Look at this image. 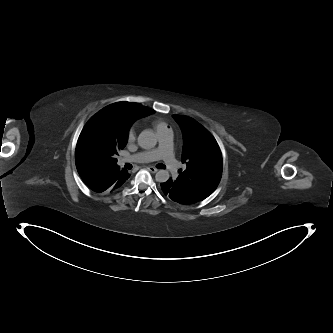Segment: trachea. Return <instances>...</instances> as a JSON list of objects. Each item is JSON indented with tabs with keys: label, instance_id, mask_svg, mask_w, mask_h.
Listing matches in <instances>:
<instances>
[{
	"label": "trachea",
	"instance_id": "3493384b",
	"mask_svg": "<svg viewBox=\"0 0 333 333\" xmlns=\"http://www.w3.org/2000/svg\"><path fill=\"white\" fill-rule=\"evenodd\" d=\"M158 168L165 169L166 166H165L164 164H159V165H158Z\"/></svg>",
	"mask_w": 333,
	"mask_h": 333
}]
</instances>
